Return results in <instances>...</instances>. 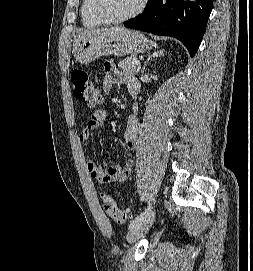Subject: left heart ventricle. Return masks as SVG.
<instances>
[{"instance_id":"b2bd125f","label":"left heart ventricle","mask_w":253,"mask_h":271,"mask_svg":"<svg viewBox=\"0 0 253 271\" xmlns=\"http://www.w3.org/2000/svg\"><path fill=\"white\" fill-rule=\"evenodd\" d=\"M140 0H104V9L111 17H122L132 12Z\"/></svg>"}]
</instances>
